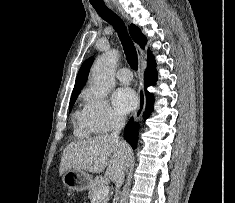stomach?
<instances>
[{
	"label": "stomach",
	"instance_id": "obj_1",
	"mask_svg": "<svg viewBox=\"0 0 235 203\" xmlns=\"http://www.w3.org/2000/svg\"><path fill=\"white\" fill-rule=\"evenodd\" d=\"M62 182L70 190L85 191L90 188L93 179L84 170L70 169L63 174Z\"/></svg>",
	"mask_w": 235,
	"mask_h": 203
}]
</instances>
